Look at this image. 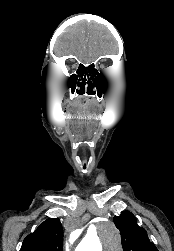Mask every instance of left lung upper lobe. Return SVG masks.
Here are the masks:
<instances>
[{
    "label": "left lung upper lobe",
    "mask_w": 174,
    "mask_h": 251,
    "mask_svg": "<svg viewBox=\"0 0 174 251\" xmlns=\"http://www.w3.org/2000/svg\"><path fill=\"white\" fill-rule=\"evenodd\" d=\"M121 233L123 251H158L150 242L144 228L138 226L135 216L129 211H123L113 218Z\"/></svg>",
    "instance_id": "left-lung-upper-lobe-1"
}]
</instances>
